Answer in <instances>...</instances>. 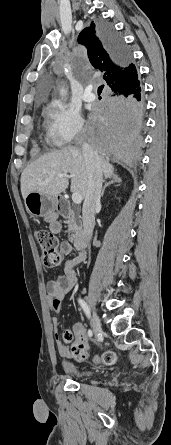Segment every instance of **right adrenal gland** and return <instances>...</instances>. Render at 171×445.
<instances>
[{
	"instance_id": "obj_1",
	"label": "right adrenal gland",
	"mask_w": 171,
	"mask_h": 445,
	"mask_svg": "<svg viewBox=\"0 0 171 445\" xmlns=\"http://www.w3.org/2000/svg\"><path fill=\"white\" fill-rule=\"evenodd\" d=\"M109 179H111V180H110L109 182H106L105 185H104V187H103V189H102L101 197L104 196L105 189H106L108 186H110L111 184H114V183H118V184L121 183V179H120L116 174L110 176Z\"/></svg>"
}]
</instances>
